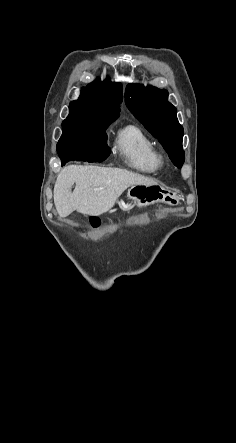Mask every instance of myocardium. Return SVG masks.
Here are the masks:
<instances>
[{
  "mask_svg": "<svg viewBox=\"0 0 236 443\" xmlns=\"http://www.w3.org/2000/svg\"><path fill=\"white\" fill-rule=\"evenodd\" d=\"M157 160H158V164L162 165L164 163V156H163V154L157 152Z\"/></svg>",
  "mask_w": 236,
  "mask_h": 443,
  "instance_id": "myocardium-1",
  "label": "myocardium"
}]
</instances>
